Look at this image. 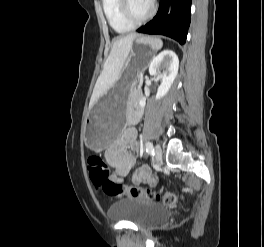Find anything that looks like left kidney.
Masks as SVG:
<instances>
[{"label":"left kidney","mask_w":264,"mask_h":247,"mask_svg":"<svg viewBox=\"0 0 264 247\" xmlns=\"http://www.w3.org/2000/svg\"><path fill=\"white\" fill-rule=\"evenodd\" d=\"M179 67V59L172 50H164L154 57L149 66V74L158 75L162 82L158 87L156 100L164 97L173 84Z\"/></svg>","instance_id":"5707ae66"}]
</instances>
